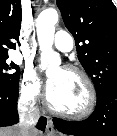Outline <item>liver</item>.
<instances>
[{"label": "liver", "instance_id": "liver-1", "mask_svg": "<svg viewBox=\"0 0 117 136\" xmlns=\"http://www.w3.org/2000/svg\"><path fill=\"white\" fill-rule=\"evenodd\" d=\"M21 130L19 126L0 128V136H21ZM36 131H31L29 136H37Z\"/></svg>", "mask_w": 117, "mask_h": 136}]
</instances>
